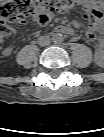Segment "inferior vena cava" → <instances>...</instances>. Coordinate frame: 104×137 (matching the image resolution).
<instances>
[{
    "label": "inferior vena cava",
    "instance_id": "obj_1",
    "mask_svg": "<svg viewBox=\"0 0 104 137\" xmlns=\"http://www.w3.org/2000/svg\"><path fill=\"white\" fill-rule=\"evenodd\" d=\"M40 44H41L43 47H48V46L51 44V39H50L48 36H43V37L40 39Z\"/></svg>",
    "mask_w": 104,
    "mask_h": 137
}]
</instances>
